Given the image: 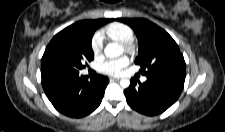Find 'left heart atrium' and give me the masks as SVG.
<instances>
[{
    "label": "left heart atrium",
    "mask_w": 225,
    "mask_h": 132,
    "mask_svg": "<svg viewBox=\"0 0 225 132\" xmlns=\"http://www.w3.org/2000/svg\"><path fill=\"white\" fill-rule=\"evenodd\" d=\"M128 64V57L122 56L117 59L104 61L100 64L99 69L104 74L116 76L119 75Z\"/></svg>",
    "instance_id": "39dd6f15"
}]
</instances>
